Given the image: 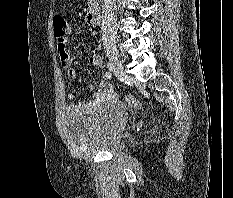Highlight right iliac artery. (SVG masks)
I'll return each mask as SVG.
<instances>
[{
  "instance_id": "1",
  "label": "right iliac artery",
  "mask_w": 233,
  "mask_h": 198,
  "mask_svg": "<svg viewBox=\"0 0 233 198\" xmlns=\"http://www.w3.org/2000/svg\"><path fill=\"white\" fill-rule=\"evenodd\" d=\"M111 69V68H110ZM112 70V69H111ZM106 77L108 78V79H111L112 78V73L111 72H107L106 73Z\"/></svg>"
}]
</instances>
